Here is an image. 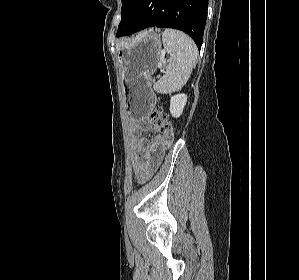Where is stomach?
I'll use <instances>...</instances> for the list:
<instances>
[{
    "label": "stomach",
    "instance_id": "0dacf381",
    "mask_svg": "<svg viewBox=\"0 0 299 280\" xmlns=\"http://www.w3.org/2000/svg\"><path fill=\"white\" fill-rule=\"evenodd\" d=\"M160 36L151 31L137 35L118 52L122 65L123 94L131 116L146 117L154 104L151 75L156 71L161 54Z\"/></svg>",
    "mask_w": 299,
    "mask_h": 280
}]
</instances>
